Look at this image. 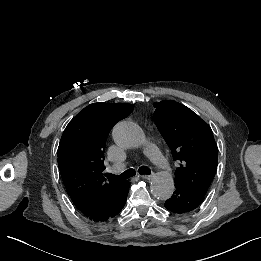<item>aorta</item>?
<instances>
[{"label":"aorta","mask_w":261,"mask_h":261,"mask_svg":"<svg viewBox=\"0 0 261 261\" xmlns=\"http://www.w3.org/2000/svg\"><path fill=\"white\" fill-rule=\"evenodd\" d=\"M112 135L115 143L123 148H135L145 141L143 130L133 122H118L113 128ZM150 188L156 198L160 200L169 199L175 189L172 175L166 171L156 173L153 176Z\"/></svg>","instance_id":"762f6f07"}]
</instances>
